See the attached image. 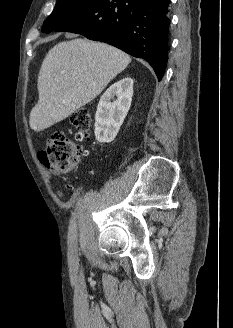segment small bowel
Segmentation results:
<instances>
[{"mask_svg": "<svg viewBox=\"0 0 233 328\" xmlns=\"http://www.w3.org/2000/svg\"><path fill=\"white\" fill-rule=\"evenodd\" d=\"M58 195H59V196H62V193H61V192H58Z\"/></svg>", "mask_w": 233, "mask_h": 328, "instance_id": "c3829d8e", "label": "small bowel"}]
</instances>
